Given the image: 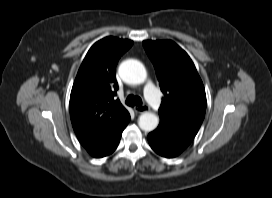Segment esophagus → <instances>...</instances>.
<instances>
[{
    "instance_id": "obj_1",
    "label": "esophagus",
    "mask_w": 272,
    "mask_h": 198,
    "mask_svg": "<svg viewBox=\"0 0 272 198\" xmlns=\"http://www.w3.org/2000/svg\"><path fill=\"white\" fill-rule=\"evenodd\" d=\"M148 110H149V107L147 105L134 107V111L136 113H143V112H146Z\"/></svg>"
}]
</instances>
